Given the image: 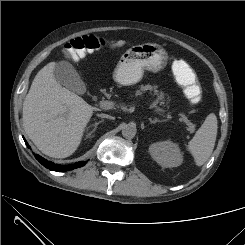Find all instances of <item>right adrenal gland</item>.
<instances>
[{"mask_svg":"<svg viewBox=\"0 0 245 245\" xmlns=\"http://www.w3.org/2000/svg\"><path fill=\"white\" fill-rule=\"evenodd\" d=\"M102 122H103V120H100V121L95 122L94 124H92V126H93L94 128H93L92 131H90V132L88 133V135L86 136V138H90L91 135L93 134V132L96 130L97 126H98L100 123H102Z\"/></svg>","mask_w":245,"mask_h":245,"instance_id":"1","label":"right adrenal gland"}]
</instances>
